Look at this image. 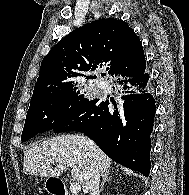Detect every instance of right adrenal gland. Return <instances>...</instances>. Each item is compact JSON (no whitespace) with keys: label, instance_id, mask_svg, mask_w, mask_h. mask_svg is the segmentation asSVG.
Listing matches in <instances>:
<instances>
[{"label":"right adrenal gland","instance_id":"2a0ac1e0","mask_svg":"<svg viewBox=\"0 0 189 195\" xmlns=\"http://www.w3.org/2000/svg\"><path fill=\"white\" fill-rule=\"evenodd\" d=\"M111 180V177H109V171H106L104 174H103V181H102V184H101V188H100V192L103 191V188H104V185L107 181H110Z\"/></svg>","mask_w":189,"mask_h":195}]
</instances>
